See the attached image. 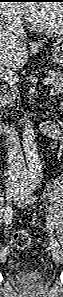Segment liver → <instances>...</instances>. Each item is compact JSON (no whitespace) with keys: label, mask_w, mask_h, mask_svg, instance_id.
Listing matches in <instances>:
<instances>
[{"label":"liver","mask_w":63,"mask_h":297,"mask_svg":"<svg viewBox=\"0 0 63 297\" xmlns=\"http://www.w3.org/2000/svg\"><path fill=\"white\" fill-rule=\"evenodd\" d=\"M28 60L26 37H18L11 32H0V74H12L25 66Z\"/></svg>","instance_id":"obj_1"}]
</instances>
